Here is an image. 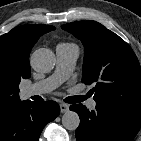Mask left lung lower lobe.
Instances as JSON below:
<instances>
[{"mask_svg": "<svg viewBox=\"0 0 141 141\" xmlns=\"http://www.w3.org/2000/svg\"><path fill=\"white\" fill-rule=\"evenodd\" d=\"M78 113L77 141H132L141 127V114L105 105L89 111L82 104L70 106Z\"/></svg>", "mask_w": 141, "mask_h": 141, "instance_id": "obj_1", "label": "left lung lower lobe"}]
</instances>
